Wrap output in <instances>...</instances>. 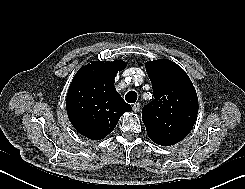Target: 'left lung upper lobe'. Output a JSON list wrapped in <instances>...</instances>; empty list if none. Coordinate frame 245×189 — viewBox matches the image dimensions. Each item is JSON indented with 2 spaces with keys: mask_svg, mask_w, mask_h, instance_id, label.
<instances>
[{
  "mask_svg": "<svg viewBox=\"0 0 245 189\" xmlns=\"http://www.w3.org/2000/svg\"><path fill=\"white\" fill-rule=\"evenodd\" d=\"M154 100L142 109V120L149 138L170 146L191 131L198 114L195 88L185 71L167 59L146 62Z\"/></svg>",
  "mask_w": 245,
  "mask_h": 189,
  "instance_id": "obj_1",
  "label": "left lung upper lobe"
}]
</instances>
